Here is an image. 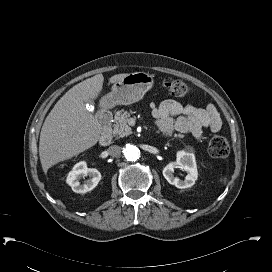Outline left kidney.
<instances>
[{
    "label": "left kidney",
    "mask_w": 272,
    "mask_h": 272,
    "mask_svg": "<svg viewBox=\"0 0 272 272\" xmlns=\"http://www.w3.org/2000/svg\"><path fill=\"white\" fill-rule=\"evenodd\" d=\"M179 167L187 172L184 180L174 176V168ZM164 178L172 185L179 189L192 187L198 178V171L195 156L190 151H178L176 161L169 162L163 168Z\"/></svg>",
    "instance_id": "1"
}]
</instances>
